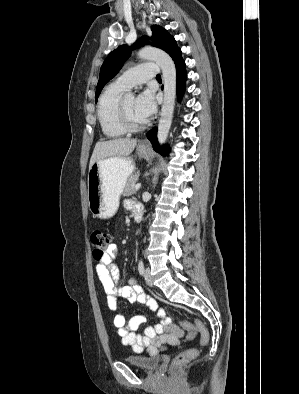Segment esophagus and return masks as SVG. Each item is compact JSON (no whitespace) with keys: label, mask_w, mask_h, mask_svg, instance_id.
Wrapping results in <instances>:
<instances>
[{"label":"esophagus","mask_w":299,"mask_h":394,"mask_svg":"<svg viewBox=\"0 0 299 394\" xmlns=\"http://www.w3.org/2000/svg\"><path fill=\"white\" fill-rule=\"evenodd\" d=\"M141 146L146 148V147H149V144L147 141H142Z\"/></svg>","instance_id":"esophagus-1"}]
</instances>
